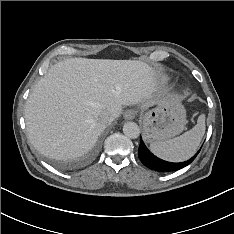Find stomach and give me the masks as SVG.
I'll return each mask as SVG.
<instances>
[{
    "instance_id": "stomach-1",
    "label": "stomach",
    "mask_w": 234,
    "mask_h": 234,
    "mask_svg": "<svg viewBox=\"0 0 234 234\" xmlns=\"http://www.w3.org/2000/svg\"><path fill=\"white\" fill-rule=\"evenodd\" d=\"M144 139L149 142H162L180 134L187 123L186 111L176 99L166 98L141 116Z\"/></svg>"
}]
</instances>
